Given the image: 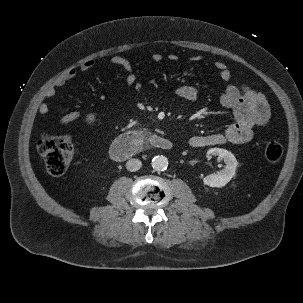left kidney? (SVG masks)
<instances>
[{
	"mask_svg": "<svg viewBox=\"0 0 303 303\" xmlns=\"http://www.w3.org/2000/svg\"><path fill=\"white\" fill-rule=\"evenodd\" d=\"M211 156L220 157L223 159L226 166L224 169L204 177L203 182L205 185H208L210 187L221 188L234 177L238 162L231 152L221 148L209 149L207 152V157L209 158Z\"/></svg>",
	"mask_w": 303,
	"mask_h": 303,
	"instance_id": "obj_1",
	"label": "left kidney"
}]
</instances>
